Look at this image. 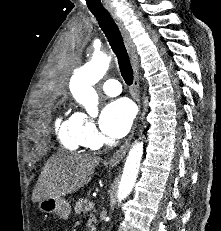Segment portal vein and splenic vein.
<instances>
[{"label": "portal vein and splenic vein", "instance_id": "obj_1", "mask_svg": "<svg viewBox=\"0 0 221 231\" xmlns=\"http://www.w3.org/2000/svg\"><path fill=\"white\" fill-rule=\"evenodd\" d=\"M94 207V203L93 202H89L88 206L86 207L87 210L92 209Z\"/></svg>", "mask_w": 221, "mask_h": 231}]
</instances>
